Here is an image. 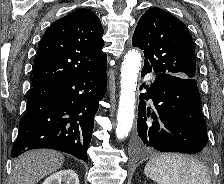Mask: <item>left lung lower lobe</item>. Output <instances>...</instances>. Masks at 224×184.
<instances>
[{"instance_id": "obj_1", "label": "left lung lower lobe", "mask_w": 224, "mask_h": 184, "mask_svg": "<svg viewBox=\"0 0 224 184\" xmlns=\"http://www.w3.org/2000/svg\"><path fill=\"white\" fill-rule=\"evenodd\" d=\"M151 72L143 68L142 76ZM154 83L140 94L137 131L141 147L161 152L196 154L207 146V127L195 79L155 74ZM154 107H146V100Z\"/></svg>"}]
</instances>
